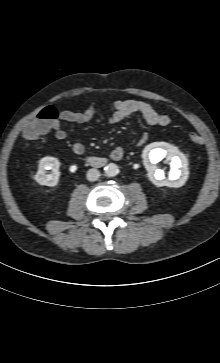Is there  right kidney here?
Segmentation results:
<instances>
[{"mask_svg":"<svg viewBox=\"0 0 220 363\" xmlns=\"http://www.w3.org/2000/svg\"><path fill=\"white\" fill-rule=\"evenodd\" d=\"M60 162L55 157H44L39 161V168L34 176L36 182L40 185L54 187L58 184L60 177ZM47 170H52L50 174H46Z\"/></svg>","mask_w":220,"mask_h":363,"instance_id":"right-kidney-1","label":"right kidney"}]
</instances>
